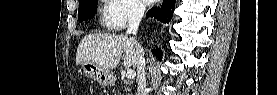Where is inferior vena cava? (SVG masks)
Returning a JSON list of instances; mask_svg holds the SVG:
<instances>
[{
    "label": "inferior vena cava",
    "mask_w": 277,
    "mask_h": 95,
    "mask_svg": "<svg viewBox=\"0 0 277 95\" xmlns=\"http://www.w3.org/2000/svg\"><path fill=\"white\" fill-rule=\"evenodd\" d=\"M144 12L145 6L143 4H135L133 6L126 31L127 35L137 34L138 27L144 15ZM130 39L133 41L137 52V95H148V90L146 88V64L144 58V50L134 37Z\"/></svg>",
    "instance_id": "obj_1"
}]
</instances>
